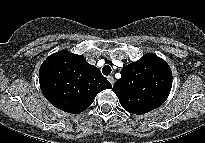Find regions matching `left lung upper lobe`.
Wrapping results in <instances>:
<instances>
[{
  "label": "left lung upper lobe",
  "mask_w": 205,
  "mask_h": 143,
  "mask_svg": "<svg viewBox=\"0 0 205 143\" xmlns=\"http://www.w3.org/2000/svg\"><path fill=\"white\" fill-rule=\"evenodd\" d=\"M172 87L169 65L154 54L124 66L113 91L125 110L145 114L162 105Z\"/></svg>",
  "instance_id": "left-lung-upper-lobe-1"
}]
</instances>
